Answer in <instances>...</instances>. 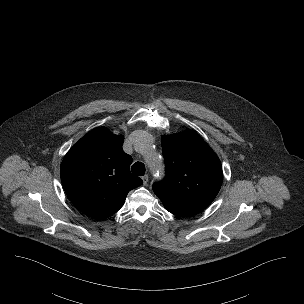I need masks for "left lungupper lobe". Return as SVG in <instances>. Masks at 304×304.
I'll list each match as a JSON object with an SVG mask.
<instances>
[{
	"mask_svg": "<svg viewBox=\"0 0 304 304\" xmlns=\"http://www.w3.org/2000/svg\"><path fill=\"white\" fill-rule=\"evenodd\" d=\"M166 176L153 185L166 209L184 216L204 210L218 194L223 180L218 156L195 132L162 138Z\"/></svg>",
	"mask_w": 304,
	"mask_h": 304,
	"instance_id": "left-lung-upper-lobe-1",
	"label": "left lung upper lobe"
}]
</instances>
